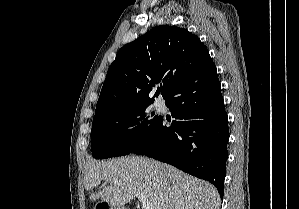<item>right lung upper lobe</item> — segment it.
Instances as JSON below:
<instances>
[{
    "instance_id": "cb5924a9",
    "label": "right lung upper lobe",
    "mask_w": 299,
    "mask_h": 209,
    "mask_svg": "<svg viewBox=\"0 0 299 209\" xmlns=\"http://www.w3.org/2000/svg\"><path fill=\"white\" fill-rule=\"evenodd\" d=\"M203 70L216 71L207 48L184 28L161 25L123 46L110 65L95 116L120 107L164 99L185 78ZM163 82L154 97L153 88Z\"/></svg>"
}]
</instances>
